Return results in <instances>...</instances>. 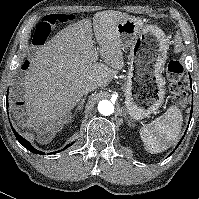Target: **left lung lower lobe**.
Segmentation results:
<instances>
[{"instance_id": "obj_1", "label": "left lung lower lobe", "mask_w": 199, "mask_h": 199, "mask_svg": "<svg viewBox=\"0 0 199 199\" xmlns=\"http://www.w3.org/2000/svg\"><path fill=\"white\" fill-rule=\"evenodd\" d=\"M190 83L192 84L191 77H190ZM191 117H192V109H191V116H190V120H191ZM189 123H190V121H189ZM183 138H184V136L182 137V139H183ZM182 139L180 140V142L178 143V145L176 146V148L179 146V144L181 143ZM174 151H175V149H174ZM174 151H173V152H174ZM173 152H172V153H173ZM172 153H171V154H172ZM171 154H170V155H171Z\"/></svg>"}]
</instances>
